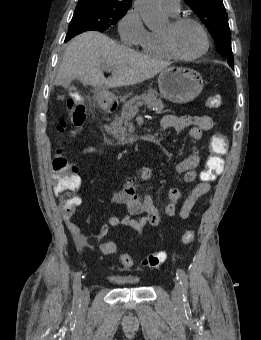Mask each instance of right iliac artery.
I'll use <instances>...</instances> for the list:
<instances>
[{"label":"right iliac artery","mask_w":261,"mask_h":340,"mask_svg":"<svg viewBox=\"0 0 261 340\" xmlns=\"http://www.w3.org/2000/svg\"><path fill=\"white\" fill-rule=\"evenodd\" d=\"M81 303V272H78L74 279V308L78 309Z\"/></svg>","instance_id":"82829eb1"}]
</instances>
